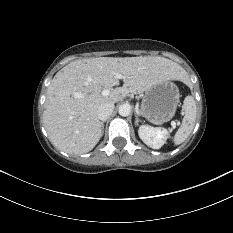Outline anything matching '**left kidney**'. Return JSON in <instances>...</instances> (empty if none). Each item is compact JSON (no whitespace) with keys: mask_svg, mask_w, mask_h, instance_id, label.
<instances>
[{"mask_svg":"<svg viewBox=\"0 0 233 233\" xmlns=\"http://www.w3.org/2000/svg\"><path fill=\"white\" fill-rule=\"evenodd\" d=\"M138 134L140 139L153 149L161 148L169 137V133L165 128L148 125L140 126Z\"/></svg>","mask_w":233,"mask_h":233,"instance_id":"1","label":"left kidney"}]
</instances>
